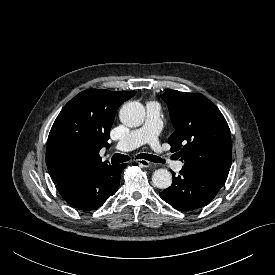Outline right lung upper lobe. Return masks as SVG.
<instances>
[{
  "label": "right lung upper lobe",
  "mask_w": 275,
  "mask_h": 275,
  "mask_svg": "<svg viewBox=\"0 0 275 275\" xmlns=\"http://www.w3.org/2000/svg\"><path fill=\"white\" fill-rule=\"evenodd\" d=\"M135 93L88 89L64 106L47 141L46 164L55 184L108 165L99 151L109 147L116 110Z\"/></svg>",
  "instance_id": "1"
}]
</instances>
